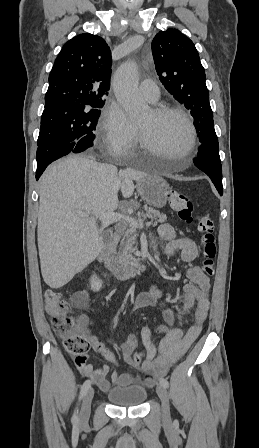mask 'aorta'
Listing matches in <instances>:
<instances>
[{
	"label": "aorta",
	"mask_w": 259,
	"mask_h": 448,
	"mask_svg": "<svg viewBox=\"0 0 259 448\" xmlns=\"http://www.w3.org/2000/svg\"><path fill=\"white\" fill-rule=\"evenodd\" d=\"M113 89L128 117L131 120L140 119L147 110V105L138 91V69L134 62H125L117 69Z\"/></svg>",
	"instance_id": "1"
}]
</instances>
